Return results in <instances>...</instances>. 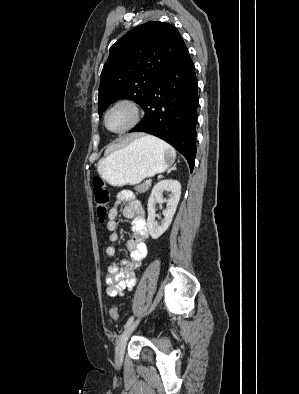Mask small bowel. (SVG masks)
<instances>
[{
  "mask_svg": "<svg viewBox=\"0 0 299 394\" xmlns=\"http://www.w3.org/2000/svg\"><path fill=\"white\" fill-rule=\"evenodd\" d=\"M123 208L124 217L132 221V236L126 242V248L129 251V259L121 264L113 262L109 264L106 275V284L108 294L116 296L125 288L131 289L135 285V270L147 254L146 239L148 237L145 211L141 202L135 197L134 193L129 190L121 191L115 198L109 213L106 224L109 231L108 239L110 242H116L119 239L118 221L119 209ZM106 254L114 257L117 249L114 245L106 247Z\"/></svg>",
  "mask_w": 299,
  "mask_h": 394,
  "instance_id": "small-bowel-1",
  "label": "small bowel"
}]
</instances>
